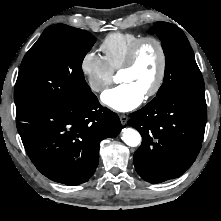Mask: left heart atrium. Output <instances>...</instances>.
I'll return each mask as SVG.
<instances>
[{
	"mask_svg": "<svg viewBox=\"0 0 221 221\" xmlns=\"http://www.w3.org/2000/svg\"><path fill=\"white\" fill-rule=\"evenodd\" d=\"M143 99L144 93L131 83H122L105 91L101 96L104 105L119 112H127L136 108Z\"/></svg>",
	"mask_w": 221,
	"mask_h": 221,
	"instance_id": "obj_1",
	"label": "left heart atrium"
}]
</instances>
